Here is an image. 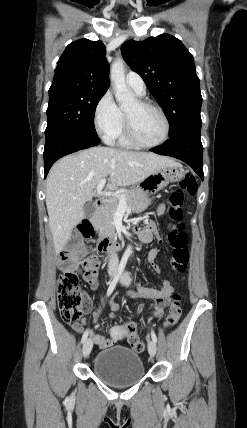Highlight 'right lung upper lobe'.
<instances>
[{
	"mask_svg": "<svg viewBox=\"0 0 247 428\" xmlns=\"http://www.w3.org/2000/svg\"><path fill=\"white\" fill-rule=\"evenodd\" d=\"M108 87L104 44L80 39L69 44L59 59L49 93L70 89L106 92Z\"/></svg>",
	"mask_w": 247,
	"mask_h": 428,
	"instance_id": "1",
	"label": "right lung upper lobe"
}]
</instances>
